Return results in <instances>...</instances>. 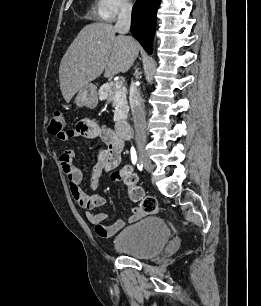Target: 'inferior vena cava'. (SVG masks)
Listing matches in <instances>:
<instances>
[{"label": "inferior vena cava", "mask_w": 261, "mask_h": 306, "mask_svg": "<svg viewBox=\"0 0 261 306\" xmlns=\"http://www.w3.org/2000/svg\"><path fill=\"white\" fill-rule=\"evenodd\" d=\"M131 10L132 6L128 2H123L120 5V12L114 26L116 32L120 34H127L129 32L131 25ZM129 100L135 131L137 134L145 135L144 104L141 94L133 81L130 85Z\"/></svg>", "instance_id": "602c4592"}]
</instances>
